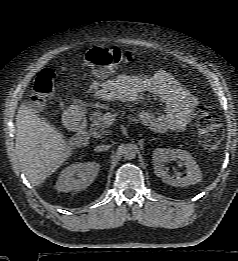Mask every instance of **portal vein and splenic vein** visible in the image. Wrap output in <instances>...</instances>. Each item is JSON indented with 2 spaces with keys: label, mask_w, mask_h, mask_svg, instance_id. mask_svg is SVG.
Masks as SVG:
<instances>
[{
  "label": "portal vein and splenic vein",
  "mask_w": 238,
  "mask_h": 261,
  "mask_svg": "<svg viewBox=\"0 0 238 261\" xmlns=\"http://www.w3.org/2000/svg\"><path fill=\"white\" fill-rule=\"evenodd\" d=\"M103 119L106 124L110 125L114 121V115H112L111 113H107L103 116Z\"/></svg>",
  "instance_id": "18ae733b"
}]
</instances>
